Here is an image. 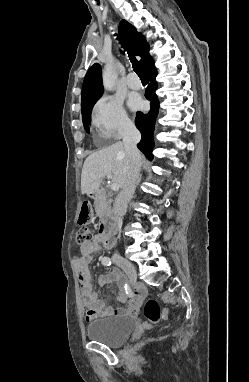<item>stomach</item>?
<instances>
[{
    "label": "stomach",
    "mask_w": 249,
    "mask_h": 382,
    "mask_svg": "<svg viewBox=\"0 0 249 382\" xmlns=\"http://www.w3.org/2000/svg\"><path fill=\"white\" fill-rule=\"evenodd\" d=\"M87 196H88V197H91V196H92V193H91V192H88V193H87Z\"/></svg>",
    "instance_id": "1"
}]
</instances>
